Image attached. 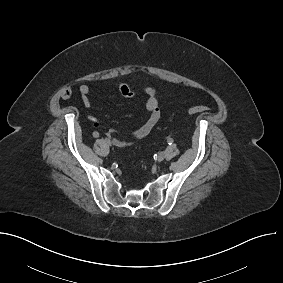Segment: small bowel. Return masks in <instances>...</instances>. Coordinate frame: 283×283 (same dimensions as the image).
Wrapping results in <instances>:
<instances>
[{
	"instance_id": "obj_1",
	"label": "small bowel",
	"mask_w": 283,
	"mask_h": 283,
	"mask_svg": "<svg viewBox=\"0 0 283 283\" xmlns=\"http://www.w3.org/2000/svg\"><path fill=\"white\" fill-rule=\"evenodd\" d=\"M117 87L119 92L127 98H133L135 92L124 82H118ZM144 91L146 93L145 107L148 112V118L146 121L137 129L132 131L127 137L121 138L116 136L114 138V145L117 147H126L133 144L136 140L142 139L148 136L154 127L157 125L161 117V111L159 108V96L156 90L152 86H145ZM79 92L81 94V100L84 106L89 107L91 105V89L87 84H81L79 86ZM99 121L93 119V126L98 127ZM117 132L110 129L107 133L108 136H115Z\"/></svg>"
}]
</instances>
